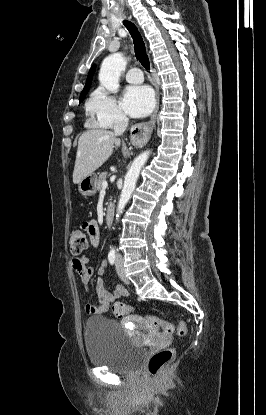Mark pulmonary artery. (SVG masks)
<instances>
[{
  "instance_id": "pulmonary-artery-1",
  "label": "pulmonary artery",
  "mask_w": 266,
  "mask_h": 415,
  "mask_svg": "<svg viewBox=\"0 0 266 415\" xmlns=\"http://www.w3.org/2000/svg\"><path fill=\"white\" fill-rule=\"evenodd\" d=\"M126 80L132 84H139L143 82V74L139 68L133 67L126 73Z\"/></svg>"
}]
</instances>
